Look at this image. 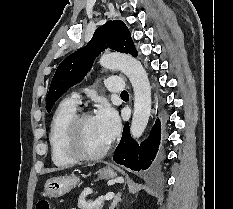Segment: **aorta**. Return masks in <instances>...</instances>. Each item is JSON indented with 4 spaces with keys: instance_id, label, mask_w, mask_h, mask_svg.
Here are the masks:
<instances>
[{
    "instance_id": "1",
    "label": "aorta",
    "mask_w": 233,
    "mask_h": 209,
    "mask_svg": "<svg viewBox=\"0 0 233 209\" xmlns=\"http://www.w3.org/2000/svg\"><path fill=\"white\" fill-rule=\"evenodd\" d=\"M100 65L107 69H119L130 80L134 90V112L130 128L134 139L140 138L146 129L151 112V87L141 62L126 54H104Z\"/></svg>"
}]
</instances>
